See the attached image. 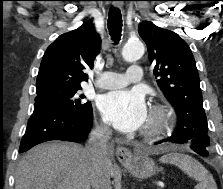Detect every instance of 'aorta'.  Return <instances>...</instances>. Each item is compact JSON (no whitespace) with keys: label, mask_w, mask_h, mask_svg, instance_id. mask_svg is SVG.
Returning <instances> with one entry per match:
<instances>
[{"label":"aorta","mask_w":223,"mask_h":189,"mask_svg":"<svg viewBox=\"0 0 223 189\" xmlns=\"http://www.w3.org/2000/svg\"><path fill=\"white\" fill-rule=\"evenodd\" d=\"M144 51V44L141 41H130L124 45L122 49V56L125 61L134 62L143 56Z\"/></svg>","instance_id":"762f6f07"}]
</instances>
